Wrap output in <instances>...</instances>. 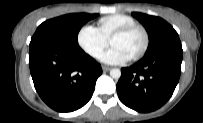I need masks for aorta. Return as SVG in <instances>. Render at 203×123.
<instances>
[{
  "label": "aorta",
  "mask_w": 203,
  "mask_h": 123,
  "mask_svg": "<svg viewBox=\"0 0 203 123\" xmlns=\"http://www.w3.org/2000/svg\"><path fill=\"white\" fill-rule=\"evenodd\" d=\"M110 76L113 79H119L121 77V71L120 69L114 68L110 70Z\"/></svg>",
  "instance_id": "obj_1"
}]
</instances>
